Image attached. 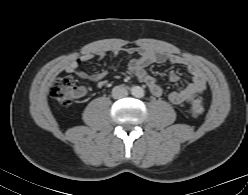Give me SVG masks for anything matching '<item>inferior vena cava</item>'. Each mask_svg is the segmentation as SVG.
I'll return each mask as SVG.
<instances>
[{
  "label": "inferior vena cava",
  "instance_id": "602c4592",
  "mask_svg": "<svg viewBox=\"0 0 248 195\" xmlns=\"http://www.w3.org/2000/svg\"><path fill=\"white\" fill-rule=\"evenodd\" d=\"M128 95V91L125 87L123 86H115L112 89V97L114 99H120V98H124Z\"/></svg>",
  "mask_w": 248,
  "mask_h": 195
}]
</instances>
